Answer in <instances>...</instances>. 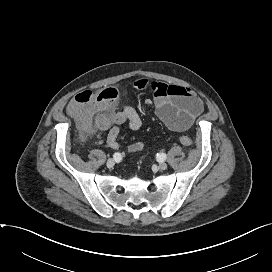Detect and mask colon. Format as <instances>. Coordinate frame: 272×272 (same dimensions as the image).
Here are the masks:
<instances>
[{
  "label": "colon",
  "mask_w": 272,
  "mask_h": 272,
  "mask_svg": "<svg viewBox=\"0 0 272 272\" xmlns=\"http://www.w3.org/2000/svg\"><path fill=\"white\" fill-rule=\"evenodd\" d=\"M117 99V91L106 88L100 91H82L69 102L68 114L77 121L83 135H90L104 118L112 114ZM184 146H191L193 141L188 136L179 137Z\"/></svg>",
  "instance_id": "obj_1"
}]
</instances>
